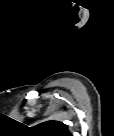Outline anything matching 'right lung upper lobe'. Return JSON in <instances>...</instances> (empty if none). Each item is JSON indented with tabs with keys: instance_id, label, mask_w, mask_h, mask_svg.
Returning a JSON list of instances; mask_svg holds the SVG:
<instances>
[{
	"instance_id": "obj_1",
	"label": "right lung upper lobe",
	"mask_w": 114,
	"mask_h": 136,
	"mask_svg": "<svg viewBox=\"0 0 114 136\" xmlns=\"http://www.w3.org/2000/svg\"><path fill=\"white\" fill-rule=\"evenodd\" d=\"M32 131L38 136H71L67 125L53 120L36 125Z\"/></svg>"
}]
</instances>
